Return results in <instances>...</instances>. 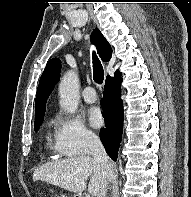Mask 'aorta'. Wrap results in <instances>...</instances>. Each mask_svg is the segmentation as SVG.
Returning <instances> with one entry per match:
<instances>
[{
  "label": "aorta",
  "mask_w": 191,
  "mask_h": 197,
  "mask_svg": "<svg viewBox=\"0 0 191 197\" xmlns=\"http://www.w3.org/2000/svg\"><path fill=\"white\" fill-rule=\"evenodd\" d=\"M60 106L69 113H74L79 103V80L74 71H68L59 85Z\"/></svg>",
  "instance_id": "762f6f07"
}]
</instances>
